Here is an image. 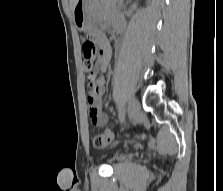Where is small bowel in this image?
<instances>
[{
	"label": "small bowel",
	"mask_w": 223,
	"mask_h": 191,
	"mask_svg": "<svg viewBox=\"0 0 223 191\" xmlns=\"http://www.w3.org/2000/svg\"><path fill=\"white\" fill-rule=\"evenodd\" d=\"M124 29L123 21L117 19L115 23V31L121 33ZM92 36L96 39L99 44L100 50L96 60V70L105 72L108 68L109 60L111 57V48L106 40L104 34L96 30L92 33ZM96 87L90 88L87 96V105L89 110V116L92 122L97 126H103L108 121V114L103 110L102 95L105 90L104 78L95 80Z\"/></svg>",
	"instance_id": "1"
}]
</instances>
